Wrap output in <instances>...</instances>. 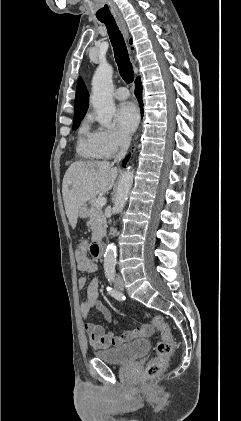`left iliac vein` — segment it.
<instances>
[{
	"label": "left iliac vein",
	"mask_w": 241,
	"mask_h": 421,
	"mask_svg": "<svg viewBox=\"0 0 241 421\" xmlns=\"http://www.w3.org/2000/svg\"><path fill=\"white\" fill-rule=\"evenodd\" d=\"M114 287L119 291H122L124 289V282L122 277L116 278V280L114 281Z\"/></svg>",
	"instance_id": "4c4485c4"
}]
</instances>
